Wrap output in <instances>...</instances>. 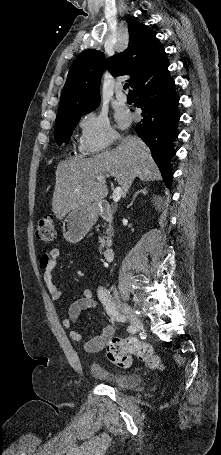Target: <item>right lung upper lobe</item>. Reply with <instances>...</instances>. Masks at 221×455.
Listing matches in <instances>:
<instances>
[{
	"label": "right lung upper lobe",
	"mask_w": 221,
	"mask_h": 455,
	"mask_svg": "<svg viewBox=\"0 0 221 455\" xmlns=\"http://www.w3.org/2000/svg\"><path fill=\"white\" fill-rule=\"evenodd\" d=\"M129 46L113 55L105 64L101 51L86 50L73 62L64 85L57 118L86 111L100 102V80L107 65L113 76L130 75L131 88L164 51L156 32L146 25L131 21L128 25Z\"/></svg>",
	"instance_id": "1"
}]
</instances>
